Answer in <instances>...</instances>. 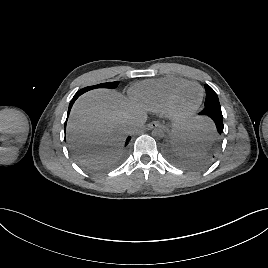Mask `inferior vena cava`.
<instances>
[{"instance_id": "602c4592", "label": "inferior vena cava", "mask_w": 268, "mask_h": 268, "mask_svg": "<svg viewBox=\"0 0 268 268\" xmlns=\"http://www.w3.org/2000/svg\"><path fill=\"white\" fill-rule=\"evenodd\" d=\"M143 119H144V118L140 119L139 121H138V120H137V121H135V123H134L135 125H134V126H132V130H134L135 126H137V127H138V126H140V124H141L140 122H142V121H143Z\"/></svg>"}]
</instances>
